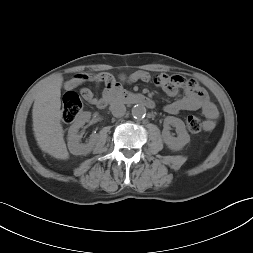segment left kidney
<instances>
[{
	"label": "left kidney",
	"mask_w": 253,
	"mask_h": 253,
	"mask_svg": "<svg viewBox=\"0 0 253 253\" xmlns=\"http://www.w3.org/2000/svg\"><path fill=\"white\" fill-rule=\"evenodd\" d=\"M170 125L176 128V132L178 134L177 137H173L170 134ZM162 137L164 143L171 149V150H180L182 149L187 143L190 141V136L186 130L184 122L176 117L167 116L164 119Z\"/></svg>",
	"instance_id": "1"
}]
</instances>
